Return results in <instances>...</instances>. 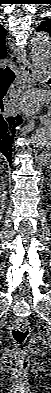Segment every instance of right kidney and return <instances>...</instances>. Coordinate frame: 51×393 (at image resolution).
<instances>
[{
	"instance_id": "obj_1",
	"label": "right kidney",
	"mask_w": 51,
	"mask_h": 393,
	"mask_svg": "<svg viewBox=\"0 0 51 393\" xmlns=\"http://www.w3.org/2000/svg\"><path fill=\"white\" fill-rule=\"evenodd\" d=\"M0 201H1V204H3V203H4V195H1V199H0Z\"/></svg>"
}]
</instances>
